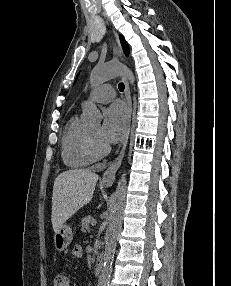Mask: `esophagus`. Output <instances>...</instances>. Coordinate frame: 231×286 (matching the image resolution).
I'll return each instance as SVG.
<instances>
[{
	"label": "esophagus",
	"instance_id": "obj_1",
	"mask_svg": "<svg viewBox=\"0 0 231 286\" xmlns=\"http://www.w3.org/2000/svg\"><path fill=\"white\" fill-rule=\"evenodd\" d=\"M114 36L116 39L119 56L123 60L124 59L123 52H122V49L119 43L118 36L115 32H114ZM123 80H124V85H125V90H124L125 102L128 108V125H127V130H126L123 142H122V148L119 154L113 160V162L109 165V167L107 168V170L104 172L102 176V183L107 186H111L115 181V175L124 158L126 147L128 144L129 135H130V130H131V119H132V114H133L131 93H130V87H129L127 78H124Z\"/></svg>",
	"mask_w": 231,
	"mask_h": 286
}]
</instances>
